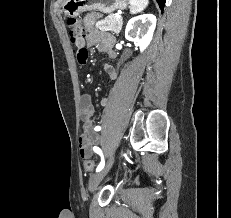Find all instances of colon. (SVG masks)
I'll list each match as a JSON object with an SVG mask.
<instances>
[{"mask_svg":"<svg viewBox=\"0 0 231 218\" xmlns=\"http://www.w3.org/2000/svg\"><path fill=\"white\" fill-rule=\"evenodd\" d=\"M67 26L72 42L76 43L78 40H81L85 37V28L77 19L69 18L67 20ZM77 58H88L87 50L85 48L79 49ZM83 165L87 171H92L95 167L94 161L89 158L84 160Z\"/></svg>","mask_w":231,"mask_h":218,"instance_id":"1","label":"colon"}]
</instances>
